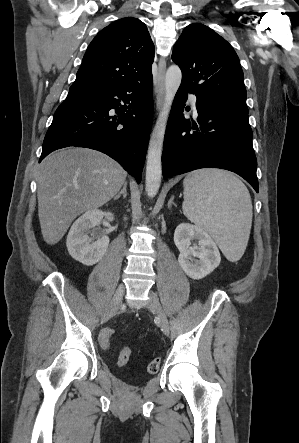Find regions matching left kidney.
<instances>
[{"label": "left kidney", "instance_id": "obj_1", "mask_svg": "<svg viewBox=\"0 0 299 443\" xmlns=\"http://www.w3.org/2000/svg\"><path fill=\"white\" fill-rule=\"evenodd\" d=\"M191 241H196V243L191 246ZM174 243L180 251L178 262L183 271L192 279L204 278L221 262L215 242L204 229L198 226L187 223L177 226Z\"/></svg>", "mask_w": 299, "mask_h": 443}]
</instances>
